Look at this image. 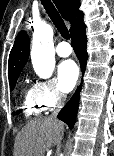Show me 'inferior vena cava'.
I'll return each mask as SVG.
<instances>
[{"label": "inferior vena cava", "instance_id": "inferior-vena-cava-1", "mask_svg": "<svg viewBox=\"0 0 114 156\" xmlns=\"http://www.w3.org/2000/svg\"><path fill=\"white\" fill-rule=\"evenodd\" d=\"M65 100H66V95L62 93L57 94L56 108L52 111V114L50 116L51 119L57 120V115L59 111L63 108Z\"/></svg>", "mask_w": 114, "mask_h": 156}]
</instances>
